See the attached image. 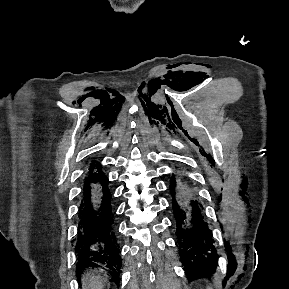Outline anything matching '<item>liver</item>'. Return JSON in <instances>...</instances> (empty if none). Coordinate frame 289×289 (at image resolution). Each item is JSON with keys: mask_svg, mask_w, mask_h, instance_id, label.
I'll return each instance as SVG.
<instances>
[{"mask_svg": "<svg viewBox=\"0 0 289 289\" xmlns=\"http://www.w3.org/2000/svg\"><path fill=\"white\" fill-rule=\"evenodd\" d=\"M104 283L101 279V276L92 275L83 280V289H103Z\"/></svg>", "mask_w": 289, "mask_h": 289, "instance_id": "1", "label": "liver"}]
</instances>
